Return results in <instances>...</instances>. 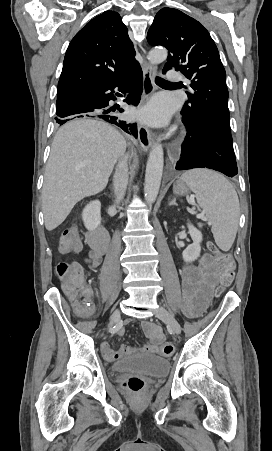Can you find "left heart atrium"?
Returning a JSON list of instances; mask_svg holds the SVG:
<instances>
[{"label": "left heart atrium", "instance_id": "obj_1", "mask_svg": "<svg viewBox=\"0 0 272 451\" xmlns=\"http://www.w3.org/2000/svg\"><path fill=\"white\" fill-rule=\"evenodd\" d=\"M169 107L163 100H155L145 112V116L158 123L165 122L169 116Z\"/></svg>", "mask_w": 272, "mask_h": 451}]
</instances>
